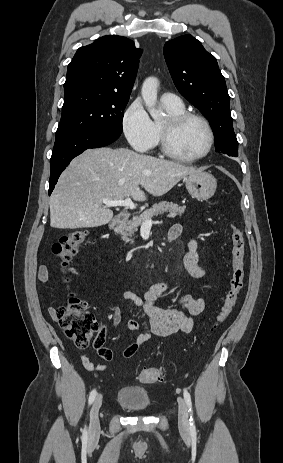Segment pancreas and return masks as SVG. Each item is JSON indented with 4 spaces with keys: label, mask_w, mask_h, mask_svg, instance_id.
I'll return each instance as SVG.
<instances>
[{
    "label": "pancreas",
    "mask_w": 283,
    "mask_h": 463,
    "mask_svg": "<svg viewBox=\"0 0 283 463\" xmlns=\"http://www.w3.org/2000/svg\"><path fill=\"white\" fill-rule=\"evenodd\" d=\"M165 212L168 213L169 218H174L176 216H182L185 212V207H180L178 204L167 201L154 204L152 208L145 210L141 215L133 217L132 220L121 226L120 234L122 240L133 244L134 239L132 237L138 230V227L141 226L147 219H151L153 216H158Z\"/></svg>",
    "instance_id": "obj_1"
}]
</instances>
